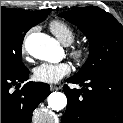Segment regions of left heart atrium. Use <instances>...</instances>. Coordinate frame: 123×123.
I'll use <instances>...</instances> for the list:
<instances>
[{
  "label": "left heart atrium",
  "mask_w": 123,
  "mask_h": 123,
  "mask_svg": "<svg viewBox=\"0 0 123 123\" xmlns=\"http://www.w3.org/2000/svg\"><path fill=\"white\" fill-rule=\"evenodd\" d=\"M70 72L71 66L67 62L42 63L34 69L33 75L39 82L53 84L59 82Z\"/></svg>",
  "instance_id": "obj_1"
}]
</instances>
